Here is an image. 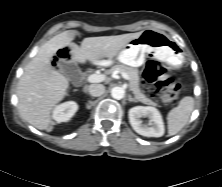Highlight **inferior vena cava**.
<instances>
[{
	"mask_svg": "<svg viewBox=\"0 0 222 187\" xmlns=\"http://www.w3.org/2000/svg\"><path fill=\"white\" fill-rule=\"evenodd\" d=\"M89 94L94 97L101 96L105 92V87L102 84H92L88 88Z\"/></svg>",
	"mask_w": 222,
	"mask_h": 187,
	"instance_id": "obj_1",
	"label": "inferior vena cava"
}]
</instances>
